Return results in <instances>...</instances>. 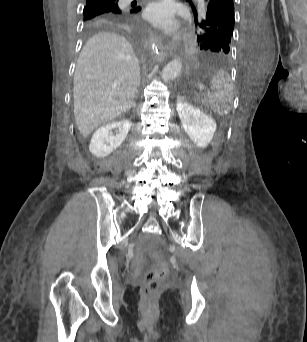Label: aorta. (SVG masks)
I'll use <instances>...</instances> for the list:
<instances>
[{
	"label": "aorta",
	"mask_w": 307,
	"mask_h": 342,
	"mask_svg": "<svg viewBox=\"0 0 307 342\" xmlns=\"http://www.w3.org/2000/svg\"><path fill=\"white\" fill-rule=\"evenodd\" d=\"M181 68H182V62H180L179 58H176V60H173V62H170V64H167V66L163 68V72L161 76L163 82H168V80H174V78L178 76Z\"/></svg>",
	"instance_id": "1"
}]
</instances>
